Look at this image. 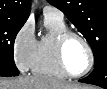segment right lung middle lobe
<instances>
[{
  "label": "right lung middle lobe",
  "mask_w": 107,
  "mask_h": 89,
  "mask_svg": "<svg viewBox=\"0 0 107 89\" xmlns=\"http://www.w3.org/2000/svg\"><path fill=\"white\" fill-rule=\"evenodd\" d=\"M25 22L0 18V76H17L13 48L17 33Z\"/></svg>",
  "instance_id": "1"
}]
</instances>
